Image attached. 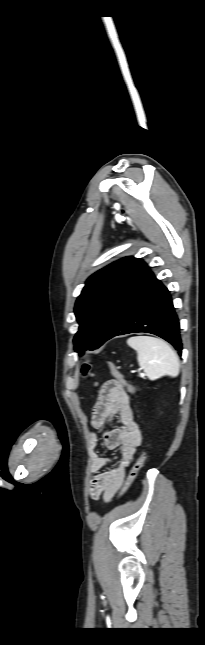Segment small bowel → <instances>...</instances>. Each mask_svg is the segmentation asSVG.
Masks as SVG:
<instances>
[{"mask_svg":"<svg viewBox=\"0 0 205 645\" xmlns=\"http://www.w3.org/2000/svg\"><path fill=\"white\" fill-rule=\"evenodd\" d=\"M118 419L120 426L107 430L102 435V443L108 450L121 448V458L110 469L104 470L111 458L103 457L96 451L98 436L91 431L87 436L91 471L90 494L93 499L109 502L123 484L126 471L134 460L137 449L142 443V433L136 421L132 404L123 390H111L106 382L99 393L93 409L91 424L95 430L105 423Z\"/></svg>","mask_w":205,"mask_h":645,"instance_id":"small-bowel-1","label":"small bowel"}]
</instances>
